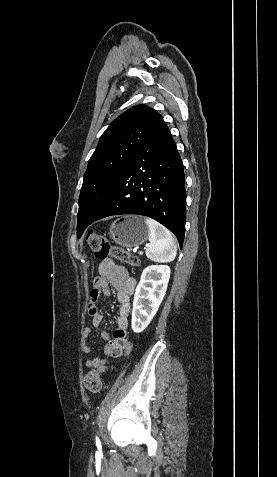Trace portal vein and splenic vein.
I'll return each instance as SVG.
<instances>
[{
	"mask_svg": "<svg viewBox=\"0 0 277 477\" xmlns=\"http://www.w3.org/2000/svg\"><path fill=\"white\" fill-rule=\"evenodd\" d=\"M133 252H137V248H134V249H133ZM140 254H142V252H140Z\"/></svg>",
	"mask_w": 277,
	"mask_h": 477,
	"instance_id": "18ae733b",
	"label": "portal vein and splenic vein"
}]
</instances>
